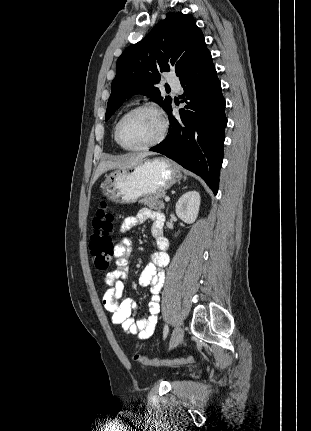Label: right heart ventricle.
<instances>
[{
  "instance_id": "right-heart-ventricle-1",
  "label": "right heart ventricle",
  "mask_w": 311,
  "mask_h": 431,
  "mask_svg": "<svg viewBox=\"0 0 311 431\" xmlns=\"http://www.w3.org/2000/svg\"><path fill=\"white\" fill-rule=\"evenodd\" d=\"M127 110H129V108H125L120 114H119V116L117 117V119H116V122L118 121V119L120 118V116L123 114V113H125ZM116 122H115V125H116ZM115 125H114V129H113V138H114V141L118 144V145H120L119 144V142H118V140H117V138H116V134H115Z\"/></svg>"
}]
</instances>
